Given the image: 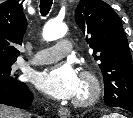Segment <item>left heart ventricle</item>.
Instances as JSON below:
<instances>
[{"label":"left heart ventricle","instance_id":"left-heart-ventricle-1","mask_svg":"<svg viewBox=\"0 0 133 118\" xmlns=\"http://www.w3.org/2000/svg\"><path fill=\"white\" fill-rule=\"evenodd\" d=\"M85 93H86V88L84 87V85H83V83L81 81V87H80V90H79V92H78L76 97H82V96L85 95Z\"/></svg>","mask_w":133,"mask_h":118}]
</instances>
